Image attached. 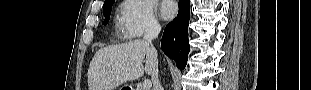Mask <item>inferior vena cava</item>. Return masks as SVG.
I'll return each mask as SVG.
<instances>
[{
	"instance_id": "inferior-vena-cava-1",
	"label": "inferior vena cava",
	"mask_w": 311,
	"mask_h": 90,
	"mask_svg": "<svg viewBox=\"0 0 311 90\" xmlns=\"http://www.w3.org/2000/svg\"><path fill=\"white\" fill-rule=\"evenodd\" d=\"M161 31V26L157 22L149 24L145 30L143 38V48L146 51V66L149 67L151 72V78L155 90H163L159 81L158 61L155 59L156 49L153 47L152 41L156 39Z\"/></svg>"
}]
</instances>
